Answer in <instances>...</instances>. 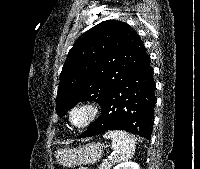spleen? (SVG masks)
Returning <instances> with one entry per match:
<instances>
[{
    "label": "spleen",
    "instance_id": "spleen-1",
    "mask_svg": "<svg viewBox=\"0 0 200 169\" xmlns=\"http://www.w3.org/2000/svg\"><path fill=\"white\" fill-rule=\"evenodd\" d=\"M104 138L112 140V148L118 153V160L127 161L135 152L136 139L125 131L111 130L104 134Z\"/></svg>",
    "mask_w": 200,
    "mask_h": 169
}]
</instances>
